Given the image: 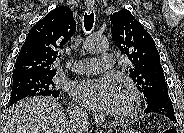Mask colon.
I'll list each match as a JSON object with an SVG mask.
<instances>
[{"mask_svg": "<svg viewBox=\"0 0 184 133\" xmlns=\"http://www.w3.org/2000/svg\"><path fill=\"white\" fill-rule=\"evenodd\" d=\"M164 133H175V130L172 128H168L164 131Z\"/></svg>", "mask_w": 184, "mask_h": 133, "instance_id": "5ec220e1", "label": "colon"}]
</instances>
